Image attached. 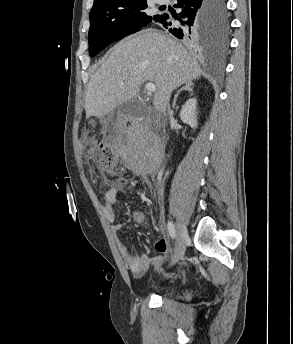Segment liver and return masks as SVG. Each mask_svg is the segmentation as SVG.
Returning <instances> with one entry per match:
<instances>
[{"mask_svg": "<svg viewBox=\"0 0 293 344\" xmlns=\"http://www.w3.org/2000/svg\"><path fill=\"white\" fill-rule=\"evenodd\" d=\"M201 75L197 60L179 42L145 30L116 45L93 75L85 98L86 118H101L135 99L147 81L156 85L153 105L163 113L172 91Z\"/></svg>", "mask_w": 293, "mask_h": 344, "instance_id": "1", "label": "liver"}]
</instances>
